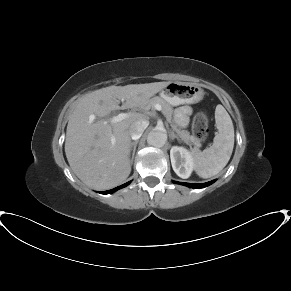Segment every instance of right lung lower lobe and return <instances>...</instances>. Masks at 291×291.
I'll return each instance as SVG.
<instances>
[{
    "instance_id": "98d812e1",
    "label": "right lung lower lobe",
    "mask_w": 291,
    "mask_h": 291,
    "mask_svg": "<svg viewBox=\"0 0 291 291\" xmlns=\"http://www.w3.org/2000/svg\"><path fill=\"white\" fill-rule=\"evenodd\" d=\"M129 183H130V182H127V183H125V184H123V185H121V186H118V187H116V188H114V189H112V190H108V191H104V192H100V193H102V194H110V193H113V192H115L116 190H118V189H120V188H123V187L127 186Z\"/></svg>"
}]
</instances>
